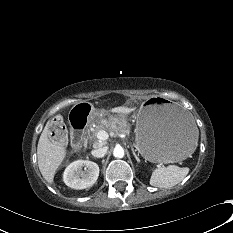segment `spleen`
<instances>
[{"label":"spleen","mask_w":233,"mask_h":233,"mask_svg":"<svg viewBox=\"0 0 233 233\" xmlns=\"http://www.w3.org/2000/svg\"><path fill=\"white\" fill-rule=\"evenodd\" d=\"M187 167L181 168L176 165L156 168L150 178V185L159 188H171L181 182L188 174Z\"/></svg>","instance_id":"1"}]
</instances>
